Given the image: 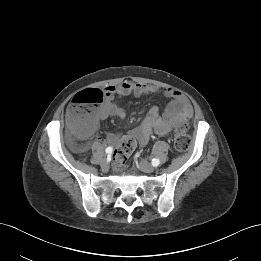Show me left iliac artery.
<instances>
[{
    "mask_svg": "<svg viewBox=\"0 0 261 261\" xmlns=\"http://www.w3.org/2000/svg\"><path fill=\"white\" fill-rule=\"evenodd\" d=\"M151 163H152L153 166L157 167L160 164V160L155 158V159L152 160Z\"/></svg>",
    "mask_w": 261,
    "mask_h": 261,
    "instance_id": "left-iliac-artery-1",
    "label": "left iliac artery"
}]
</instances>
